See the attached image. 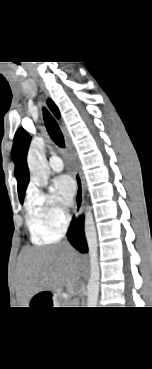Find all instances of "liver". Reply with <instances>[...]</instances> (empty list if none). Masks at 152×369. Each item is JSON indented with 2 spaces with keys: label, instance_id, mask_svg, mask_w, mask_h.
Wrapping results in <instances>:
<instances>
[{
  "label": "liver",
  "instance_id": "6515ba94",
  "mask_svg": "<svg viewBox=\"0 0 152 369\" xmlns=\"http://www.w3.org/2000/svg\"><path fill=\"white\" fill-rule=\"evenodd\" d=\"M83 267L82 259L70 246L26 248L19 257L18 288L30 299L35 294L61 288L66 282L77 283Z\"/></svg>",
  "mask_w": 152,
  "mask_h": 369
}]
</instances>
